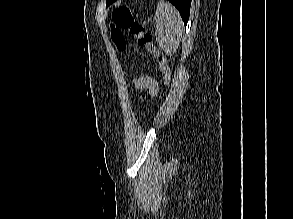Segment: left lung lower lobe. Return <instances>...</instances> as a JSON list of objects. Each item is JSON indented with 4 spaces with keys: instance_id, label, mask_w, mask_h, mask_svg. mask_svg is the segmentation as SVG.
Here are the masks:
<instances>
[{
    "instance_id": "obj_1",
    "label": "left lung lower lobe",
    "mask_w": 293,
    "mask_h": 219,
    "mask_svg": "<svg viewBox=\"0 0 293 219\" xmlns=\"http://www.w3.org/2000/svg\"><path fill=\"white\" fill-rule=\"evenodd\" d=\"M171 2L180 12V15L186 25L190 14L191 0H168Z\"/></svg>"
}]
</instances>
